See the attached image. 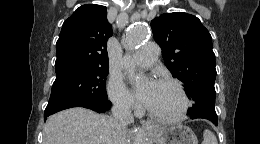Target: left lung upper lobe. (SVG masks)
<instances>
[{
    "mask_svg": "<svg viewBox=\"0 0 260 144\" xmlns=\"http://www.w3.org/2000/svg\"><path fill=\"white\" fill-rule=\"evenodd\" d=\"M151 28L165 65L195 101L190 117L216 114L215 54L208 30L196 16L184 12L162 14L151 21Z\"/></svg>",
    "mask_w": 260,
    "mask_h": 144,
    "instance_id": "left-lung-upper-lobe-1",
    "label": "left lung upper lobe"
}]
</instances>
